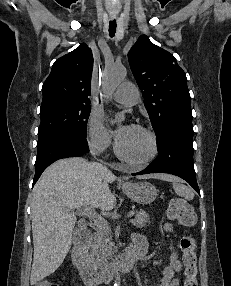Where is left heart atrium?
Returning a JSON list of instances; mask_svg holds the SVG:
<instances>
[{
    "instance_id": "39dd6f15",
    "label": "left heart atrium",
    "mask_w": 231,
    "mask_h": 286,
    "mask_svg": "<svg viewBox=\"0 0 231 286\" xmlns=\"http://www.w3.org/2000/svg\"><path fill=\"white\" fill-rule=\"evenodd\" d=\"M130 125H124L122 126L121 128H119L116 132V137H117V140H121L126 134L127 132L129 131L130 129Z\"/></svg>"
}]
</instances>
